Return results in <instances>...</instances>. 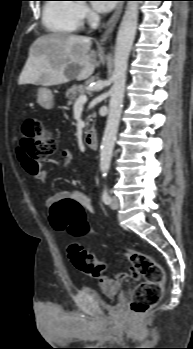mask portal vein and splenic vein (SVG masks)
Listing matches in <instances>:
<instances>
[{
	"mask_svg": "<svg viewBox=\"0 0 193 349\" xmlns=\"http://www.w3.org/2000/svg\"><path fill=\"white\" fill-rule=\"evenodd\" d=\"M87 102V96L85 94H81L75 101V106L82 105Z\"/></svg>",
	"mask_w": 193,
	"mask_h": 349,
	"instance_id": "18ae733b",
	"label": "portal vein and splenic vein"
}]
</instances>
